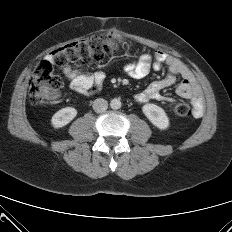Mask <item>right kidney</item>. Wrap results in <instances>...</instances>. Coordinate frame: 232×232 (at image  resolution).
<instances>
[{
    "label": "right kidney",
    "mask_w": 232,
    "mask_h": 232,
    "mask_svg": "<svg viewBox=\"0 0 232 232\" xmlns=\"http://www.w3.org/2000/svg\"><path fill=\"white\" fill-rule=\"evenodd\" d=\"M77 115V110L73 107H65L57 111L51 119L54 128H61L70 123Z\"/></svg>",
    "instance_id": "1"
}]
</instances>
